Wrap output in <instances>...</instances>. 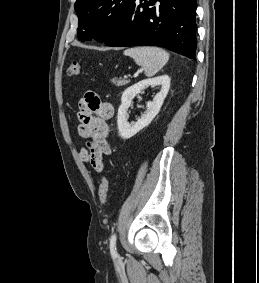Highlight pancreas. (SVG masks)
Wrapping results in <instances>:
<instances>
[{
  "mask_svg": "<svg viewBox=\"0 0 259 283\" xmlns=\"http://www.w3.org/2000/svg\"><path fill=\"white\" fill-rule=\"evenodd\" d=\"M111 82H112L114 85L120 87V86H124V85L128 84L130 81H129V80H126V79H121V78H119V79H118V78H113V79L111 80Z\"/></svg>",
  "mask_w": 259,
  "mask_h": 283,
  "instance_id": "1",
  "label": "pancreas"
}]
</instances>
